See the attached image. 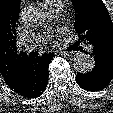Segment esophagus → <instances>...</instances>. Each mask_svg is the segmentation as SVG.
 I'll return each instance as SVG.
<instances>
[{"label":"esophagus","mask_w":113,"mask_h":113,"mask_svg":"<svg viewBox=\"0 0 113 113\" xmlns=\"http://www.w3.org/2000/svg\"><path fill=\"white\" fill-rule=\"evenodd\" d=\"M62 53H64L65 55H67L69 57H73L76 55V52H74V51H63Z\"/></svg>","instance_id":"1"}]
</instances>
